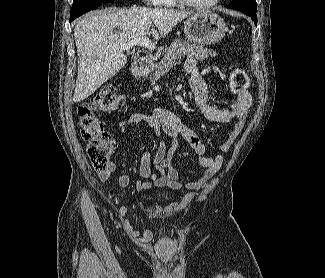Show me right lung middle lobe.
<instances>
[{"label": "right lung middle lobe", "mask_w": 325, "mask_h": 278, "mask_svg": "<svg viewBox=\"0 0 325 278\" xmlns=\"http://www.w3.org/2000/svg\"><path fill=\"white\" fill-rule=\"evenodd\" d=\"M100 1H108V0H100Z\"/></svg>", "instance_id": "dd1d6c3e"}]
</instances>
